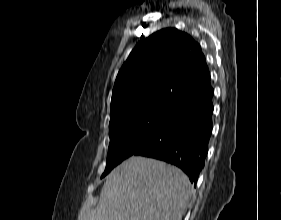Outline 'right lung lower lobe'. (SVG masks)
I'll use <instances>...</instances> for the list:
<instances>
[{
    "instance_id": "obj_1",
    "label": "right lung lower lobe",
    "mask_w": 281,
    "mask_h": 220,
    "mask_svg": "<svg viewBox=\"0 0 281 220\" xmlns=\"http://www.w3.org/2000/svg\"><path fill=\"white\" fill-rule=\"evenodd\" d=\"M213 94L210 88L181 102L133 155L176 165L196 183L205 164L212 132Z\"/></svg>"
}]
</instances>
